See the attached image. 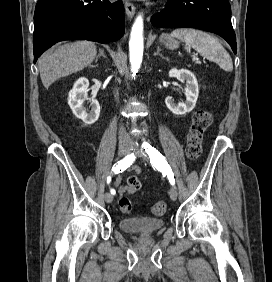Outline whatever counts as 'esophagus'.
<instances>
[{
  "label": "esophagus",
  "instance_id": "esophagus-1",
  "mask_svg": "<svg viewBox=\"0 0 272 282\" xmlns=\"http://www.w3.org/2000/svg\"><path fill=\"white\" fill-rule=\"evenodd\" d=\"M124 7H125V11H126L127 17L129 19H131L134 16V14H135V10H136L135 6L131 2L125 1Z\"/></svg>",
  "mask_w": 272,
  "mask_h": 282
}]
</instances>
